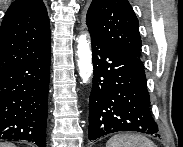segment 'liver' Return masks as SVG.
Instances as JSON below:
<instances>
[{
	"label": "liver",
	"instance_id": "1",
	"mask_svg": "<svg viewBox=\"0 0 183 147\" xmlns=\"http://www.w3.org/2000/svg\"><path fill=\"white\" fill-rule=\"evenodd\" d=\"M0 147H15V145L11 143H0Z\"/></svg>",
	"mask_w": 183,
	"mask_h": 147
}]
</instances>
